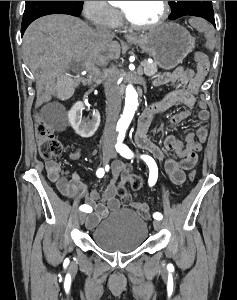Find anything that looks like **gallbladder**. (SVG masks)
<instances>
[{"instance_id": "gallbladder-1", "label": "gallbladder", "mask_w": 237, "mask_h": 300, "mask_svg": "<svg viewBox=\"0 0 237 300\" xmlns=\"http://www.w3.org/2000/svg\"><path fill=\"white\" fill-rule=\"evenodd\" d=\"M59 82H57L58 101H69L71 94L75 93V83L73 76H68L67 72L59 73Z\"/></svg>"}]
</instances>
